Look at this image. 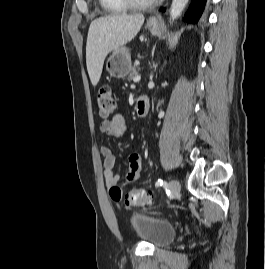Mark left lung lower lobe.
<instances>
[{
    "instance_id": "0a47b994",
    "label": "left lung lower lobe",
    "mask_w": 265,
    "mask_h": 269,
    "mask_svg": "<svg viewBox=\"0 0 265 269\" xmlns=\"http://www.w3.org/2000/svg\"><path fill=\"white\" fill-rule=\"evenodd\" d=\"M206 1L207 0H192L184 21L197 23L204 11Z\"/></svg>"
}]
</instances>
